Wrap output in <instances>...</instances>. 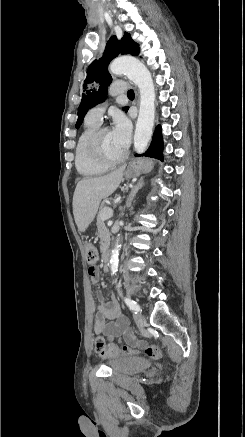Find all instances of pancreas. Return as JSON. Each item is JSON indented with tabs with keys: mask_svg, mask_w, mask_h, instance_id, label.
Instances as JSON below:
<instances>
[{
	"mask_svg": "<svg viewBox=\"0 0 245 437\" xmlns=\"http://www.w3.org/2000/svg\"><path fill=\"white\" fill-rule=\"evenodd\" d=\"M107 213H113L112 209L107 207V206H103V207H101V209L98 213V216H97V229H98V234L100 237L101 247L106 246L110 241L111 234H110L109 230L106 228L105 223H104V221L106 219H108L105 217V215Z\"/></svg>",
	"mask_w": 245,
	"mask_h": 437,
	"instance_id": "pancreas-1",
	"label": "pancreas"
}]
</instances>
